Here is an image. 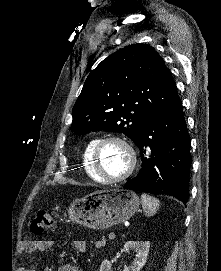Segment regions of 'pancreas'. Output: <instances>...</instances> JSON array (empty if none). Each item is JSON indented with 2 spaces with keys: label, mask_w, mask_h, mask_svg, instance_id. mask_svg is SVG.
I'll return each mask as SVG.
<instances>
[{
  "label": "pancreas",
  "mask_w": 221,
  "mask_h": 271,
  "mask_svg": "<svg viewBox=\"0 0 221 271\" xmlns=\"http://www.w3.org/2000/svg\"><path fill=\"white\" fill-rule=\"evenodd\" d=\"M91 243L94 247H105L106 244H109V239H92Z\"/></svg>",
  "instance_id": "1"
}]
</instances>
